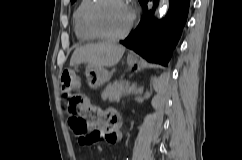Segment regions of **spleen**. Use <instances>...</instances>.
I'll list each match as a JSON object with an SVG mask.
<instances>
[{
  "mask_svg": "<svg viewBox=\"0 0 242 160\" xmlns=\"http://www.w3.org/2000/svg\"><path fill=\"white\" fill-rule=\"evenodd\" d=\"M167 80L164 76H161L159 79H155L153 86L158 93H163L164 87L166 86Z\"/></svg>",
  "mask_w": 242,
  "mask_h": 160,
  "instance_id": "1",
  "label": "spleen"
}]
</instances>
